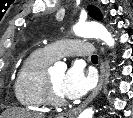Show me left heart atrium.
<instances>
[{
  "mask_svg": "<svg viewBox=\"0 0 133 118\" xmlns=\"http://www.w3.org/2000/svg\"><path fill=\"white\" fill-rule=\"evenodd\" d=\"M94 78L87 73L81 64H74L64 74L60 92L68 99H78L85 95L93 86Z\"/></svg>",
  "mask_w": 133,
  "mask_h": 118,
  "instance_id": "left-heart-atrium-1",
  "label": "left heart atrium"
}]
</instances>
